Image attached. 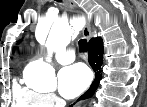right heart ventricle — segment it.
Listing matches in <instances>:
<instances>
[{
    "label": "right heart ventricle",
    "mask_w": 147,
    "mask_h": 107,
    "mask_svg": "<svg viewBox=\"0 0 147 107\" xmlns=\"http://www.w3.org/2000/svg\"><path fill=\"white\" fill-rule=\"evenodd\" d=\"M13 104L15 107H37L42 104L41 94L15 81L12 86Z\"/></svg>",
    "instance_id": "1"
}]
</instances>
